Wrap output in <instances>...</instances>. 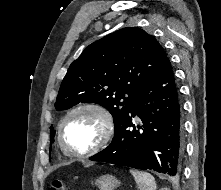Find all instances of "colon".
<instances>
[{
  "mask_svg": "<svg viewBox=\"0 0 221 190\" xmlns=\"http://www.w3.org/2000/svg\"><path fill=\"white\" fill-rule=\"evenodd\" d=\"M48 190H67L64 183L60 180H54L49 186Z\"/></svg>",
  "mask_w": 221,
  "mask_h": 190,
  "instance_id": "colon-1",
  "label": "colon"
}]
</instances>
